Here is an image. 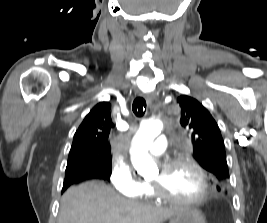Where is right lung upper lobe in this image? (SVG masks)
Returning a JSON list of instances; mask_svg holds the SVG:
<instances>
[{
	"label": "right lung upper lobe",
	"mask_w": 267,
	"mask_h": 223,
	"mask_svg": "<svg viewBox=\"0 0 267 223\" xmlns=\"http://www.w3.org/2000/svg\"><path fill=\"white\" fill-rule=\"evenodd\" d=\"M110 108L109 102H101L84 118L74 135L68 163L91 160L97 163L94 171L106 170V161L111 159L108 136L113 123Z\"/></svg>",
	"instance_id": "cb5924a9"
}]
</instances>
